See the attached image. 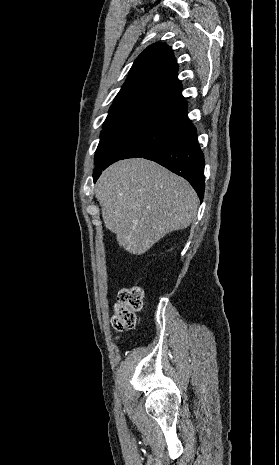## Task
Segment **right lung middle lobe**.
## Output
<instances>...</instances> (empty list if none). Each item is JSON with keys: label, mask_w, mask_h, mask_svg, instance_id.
I'll list each match as a JSON object with an SVG mask.
<instances>
[{"label": "right lung middle lobe", "mask_w": 279, "mask_h": 465, "mask_svg": "<svg viewBox=\"0 0 279 465\" xmlns=\"http://www.w3.org/2000/svg\"><path fill=\"white\" fill-rule=\"evenodd\" d=\"M180 127L154 122H130L103 127L95 152V169L121 159L144 157L172 141Z\"/></svg>", "instance_id": "1"}]
</instances>
